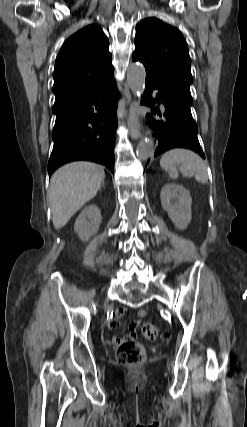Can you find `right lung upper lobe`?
Returning <instances> with one entry per match:
<instances>
[{"label":"right lung upper lobe","mask_w":247,"mask_h":427,"mask_svg":"<svg viewBox=\"0 0 247 427\" xmlns=\"http://www.w3.org/2000/svg\"><path fill=\"white\" fill-rule=\"evenodd\" d=\"M109 41L102 29L89 25L67 39L57 55L55 102L95 91L113 78Z\"/></svg>","instance_id":"cb5924a9"}]
</instances>
